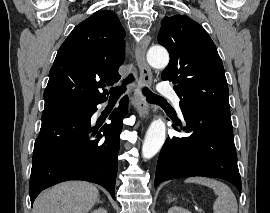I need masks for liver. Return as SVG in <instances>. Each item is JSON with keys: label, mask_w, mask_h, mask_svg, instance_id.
Returning <instances> with one entry per match:
<instances>
[{"label": "liver", "mask_w": 270, "mask_h": 213, "mask_svg": "<svg viewBox=\"0 0 270 213\" xmlns=\"http://www.w3.org/2000/svg\"><path fill=\"white\" fill-rule=\"evenodd\" d=\"M98 189L87 182H64L41 193L33 213H87L98 201Z\"/></svg>", "instance_id": "liver-1"}]
</instances>
